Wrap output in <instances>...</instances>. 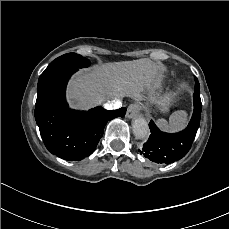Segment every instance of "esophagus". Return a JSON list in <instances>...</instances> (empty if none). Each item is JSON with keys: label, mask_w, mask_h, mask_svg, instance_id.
<instances>
[{"label": "esophagus", "mask_w": 229, "mask_h": 229, "mask_svg": "<svg viewBox=\"0 0 229 229\" xmlns=\"http://www.w3.org/2000/svg\"><path fill=\"white\" fill-rule=\"evenodd\" d=\"M139 112V108L136 106V104L129 105L126 113V117L131 119L134 118Z\"/></svg>", "instance_id": "obj_1"}]
</instances>
